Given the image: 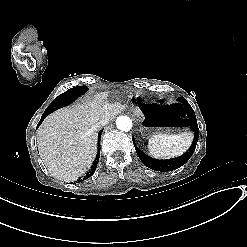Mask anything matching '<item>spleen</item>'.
I'll return each instance as SVG.
<instances>
[{
  "instance_id": "3e777b00",
  "label": "spleen",
  "mask_w": 247,
  "mask_h": 247,
  "mask_svg": "<svg viewBox=\"0 0 247 247\" xmlns=\"http://www.w3.org/2000/svg\"><path fill=\"white\" fill-rule=\"evenodd\" d=\"M193 139L192 132H183L178 135L156 134L149 139L148 154L160 159L178 157L190 148Z\"/></svg>"
}]
</instances>
